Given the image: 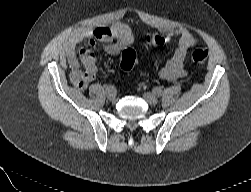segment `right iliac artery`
<instances>
[{"instance_id": "right-iliac-artery-1", "label": "right iliac artery", "mask_w": 251, "mask_h": 192, "mask_svg": "<svg viewBox=\"0 0 251 192\" xmlns=\"http://www.w3.org/2000/svg\"><path fill=\"white\" fill-rule=\"evenodd\" d=\"M105 91L106 93L116 92V88L114 87V85H107L105 86Z\"/></svg>"}]
</instances>
